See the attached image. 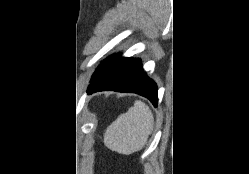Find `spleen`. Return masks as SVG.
<instances>
[{"label": "spleen", "instance_id": "spleen-1", "mask_svg": "<svg viewBox=\"0 0 249 174\" xmlns=\"http://www.w3.org/2000/svg\"><path fill=\"white\" fill-rule=\"evenodd\" d=\"M154 127L150 108L142 101H135L133 107L107 127L104 133L105 146L120 154L129 155L140 151Z\"/></svg>", "mask_w": 249, "mask_h": 174}]
</instances>
